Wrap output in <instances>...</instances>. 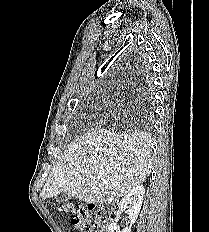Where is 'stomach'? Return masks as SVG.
Listing matches in <instances>:
<instances>
[{
	"label": "stomach",
	"instance_id": "stomach-1",
	"mask_svg": "<svg viewBox=\"0 0 209 232\" xmlns=\"http://www.w3.org/2000/svg\"><path fill=\"white\" fill-rule=\"evenodd\" d=\"M64 214H73V209H70L69 206L64 207Z\"/></svg>",
	"mask_w": 209,
	"mask_h": 232
}]
</instances>
